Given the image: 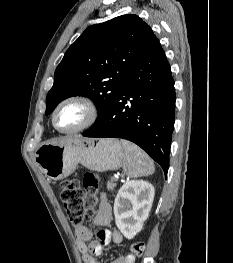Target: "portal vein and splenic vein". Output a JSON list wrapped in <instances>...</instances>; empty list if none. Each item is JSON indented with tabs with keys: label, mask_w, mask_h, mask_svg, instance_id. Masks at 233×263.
<instances>
[{
	"label": "portal vein and splenic vein",
	"mask_w": 233,
	"mask_h": 263,
	"mask_svg": "<svg viewBox=\"0 0 233 263\" xmlns=\"http://www.w3.org/2000/svg\"><path fill=\"white\" fill-rule=\"evenodd\" d=\"M112 180H116V177H112Z\"/></svg>",
	"instance_id": "18ae733b"
}]
</instances>
